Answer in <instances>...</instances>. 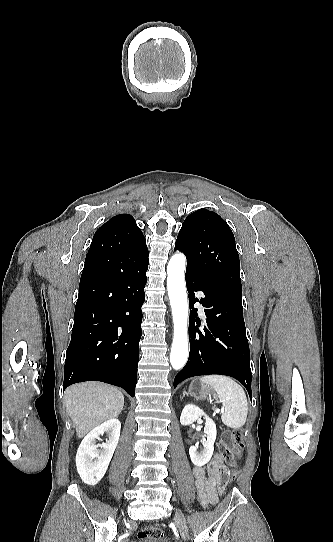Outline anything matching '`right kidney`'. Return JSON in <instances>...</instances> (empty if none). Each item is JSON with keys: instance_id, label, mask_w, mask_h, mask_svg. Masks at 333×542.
I'll return each mask as SVG.
<instances>
[{"instance_id": "1", "label": "right kidney", "mask_w": 333, "mask_h": 542, "mask_svg": "<svg viewBox=\"0 0 333 542\" xmlns=\"http://www.w3.org/2000/svg\"><path fill=\"white\" fill-rule=\"evenodd\" d=\"M121 424L119 420H107L97 428H93L82 440L76 454L77 472L84 484L95 486L103 476L111 462L120 438ZM107 432L109 440L97 446L96 440ZM102 448V450H97Z\"/></svg>"}]
</instances>
